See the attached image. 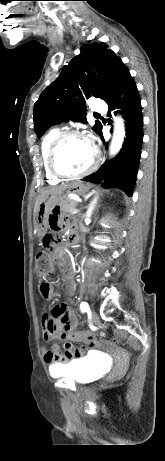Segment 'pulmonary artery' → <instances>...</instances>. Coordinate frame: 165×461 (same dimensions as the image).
Wrapping results in <instances>:
<instances>
[{"instance_id": "pulmonary-artery-1", "label": "pulmonary artery", "mask_w": 165, "mask_h": 461, "mask_svg": "<svg viewBox=\"0 0 165 461\" xmlns=\"http://www.w3.org/2000/svg\"><path fill=\"white\" fill-rule=\"evenodd\" d=\"M92 109H93V111H95L97 113H104L106 111L105 104L99 99H96L94 101Z\"/></svg>"}]
</instances>
